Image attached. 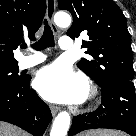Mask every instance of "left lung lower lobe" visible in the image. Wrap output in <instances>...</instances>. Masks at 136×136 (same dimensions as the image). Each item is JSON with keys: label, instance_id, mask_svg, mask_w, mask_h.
Listing matches in <instances>:
<instances>
[{"label": "left lung lower lobe", "instance_id": "1", "mask_svg": "<svg viewBox=\"0 0 136 136\" xmlns=\"http://www.w3.org/2000/svg\"><path fill=\"white\" fill-rule=\"evenodd\" d=\"M102 104L89 114L74 117L68 135L83 130L108 128L136 136V100L132 81H112L101 87Z\"/></svg>", "mask_w": 136, "mask_h": 136}]
</instances>
